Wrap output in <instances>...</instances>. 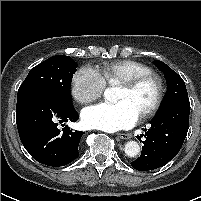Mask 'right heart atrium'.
Segmentation results:
<instances>
[{
    "label": "right heart atrium",
    "instance_id": "obj_1",
    "mask_svg": "<svg viewBox=\"0 0 201 201\" xmlns=\"http://www.w3.org/2000/svg\"><path fill=\"white\" fill-rule=\"evenodd\" d=\"M105 85L98 70L84 66L72 78V96L80 104H89L102 96Z\"/></svg>",
    "mask_w": 201,
    "mask_h": 201
}]
</instances>
